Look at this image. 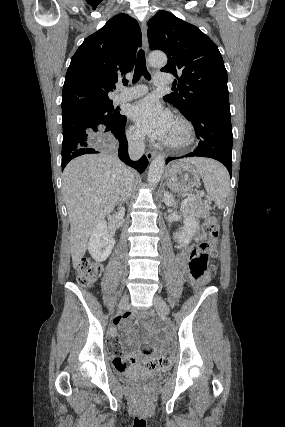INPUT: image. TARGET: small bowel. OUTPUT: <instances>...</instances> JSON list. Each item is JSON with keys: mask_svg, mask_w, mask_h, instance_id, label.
<instances>
[{"mask_svg": "<svg viewBox=\"0 0 285 427\" xmlns=\"http://www.w3.org/2000/svg\"><path fill=\"white\" fill-rule=\"evenodd\" d=\"M178 261L180 263H185L186 261V252L181 251L178 254ZM134 319L133 315H125L122 319L117 321V325L119 326H126L131 323V321ZM130 343H135L134 341H129ZM107 346L111 350V356L113 358V365L116 369L120 368V363L122 362H129L133 364H139L141 363L144 358L146 357V354L143 353L140 349L136 348L134 349L130 354H124L122 351V345L119 340H117L113 333H110L107 338Z\"/></svg>", "mask_w": 285, "mask_h": 427, "instance_id": "1", "label": "small bowel"}]
</instances>
